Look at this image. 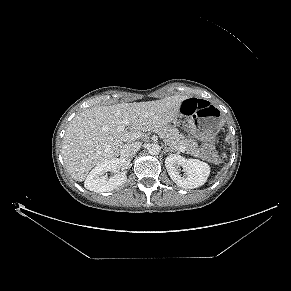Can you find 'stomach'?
<instances>
[{
    "label": "stomach",
    "instance_id": "obj_1",
    "mask_svg": "<svg viewBox=\"0 0 291 291\" xmlns=\"http://www.w3.org/2000/svg\"><path fill=\"white\" fill-rule=\"evenodd\" d=\"M173 122L177 126L181 123L177 118ZM185 122L191 134L201 139L216 135L223 125L221 113L213 105L199 108L196 112L187 116Z\"/></svg>",
    "mask_w": 291,
    "mask_h": 291
}]
</instances>
